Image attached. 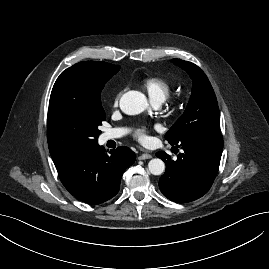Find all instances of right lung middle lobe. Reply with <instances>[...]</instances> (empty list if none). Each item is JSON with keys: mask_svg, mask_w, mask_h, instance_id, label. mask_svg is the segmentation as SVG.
Listing matches in <instances>:
<instances>
[{"mask_svg": "<svg viewBox=\"0 0 269 269\" xmlns=\"http://www.w3.org/2000/svg\"><path fill=\"white\" fill-rule=\"evenodd\" d=\"M114 73L80 62L57 78L50 96L47 121V140L54 162L98 144L101 133L98 127L106 118L100 93ZM90 79L94 80L95 89L89 93L69 91V85Z\"/></svg>", "mask_w": 269, "mask_h": 269, "instance_id": "right-lung-middle-lobe-1", "label": "right lung middle lobe"}]
</instances>
